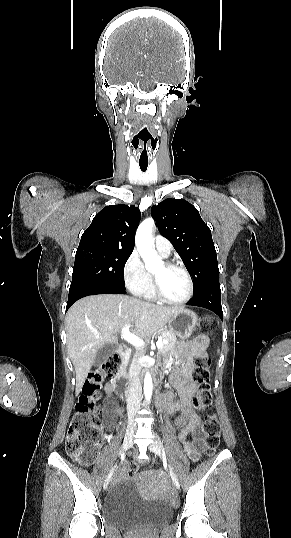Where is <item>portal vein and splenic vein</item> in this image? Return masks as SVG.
<instances>
[{"mask_svg":"<svg viewBox=\"0 0 291 538\" xmlns=\"http://www.w3.org/2000/svg\"><path fill=\"white\" fill-rule=\"evenodd\" d=\"M130 325H125L121 329V336L126 340L128 343L132 344L136 348L143 347L145 345V342L135 334L131 333L129 331ZM93 333L98 334L97 330H92ZM164 343H168L166 339H162L161 337L157 340L156 346L157 348H161Z\"/></svg>","mask_w":291,"mask_h":538,"instance_id":"portal-vein-and-splenic-vein-1","label":"portal vein and splenic vein"}]
</instances>
